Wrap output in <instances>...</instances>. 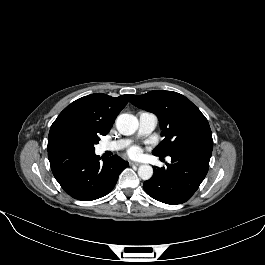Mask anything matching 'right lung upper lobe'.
I'll return each instance as SVG.
<instances>
[{
    "mask_svg": "<svg viewBox=\"0 0 265 265\" xmlns=\"http://www.w3.org/2000/svg\"><path fill=\"white\" fill-rule=\"evenodd\" d=\"M131 94L111 97L102 93L91 94L68 105L50 128L47 150L58 147L56 138L66 128H79L97 136L106 135L118 113L126 106Z\"/></svg>",
    "mask_w": 265,
    "mask_h": 265,
    "instance_id": "obj_1",
    "label": "right lung upper lobe"
}]
</instances>
